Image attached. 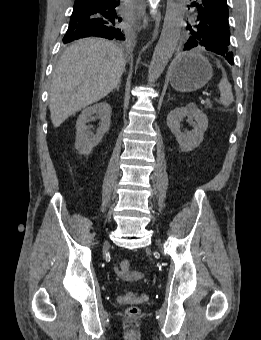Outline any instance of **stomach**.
<instances>
[{"instance_id":"obj_1","label":"stomach","mask_w":261,"mask_h":340,"mask_svg":"<svg viewBox=\"0 0 261 340\" xmlns=\"http://www.w3.org/2000/svg\"><path fill=\"white\" fill-rule=\"evenodd\" d=\"M169 76L175 90L193 92L205 86L211 79L212 66L203 55L188 52L174 60Z\"/></svg>"}]
</instances>
